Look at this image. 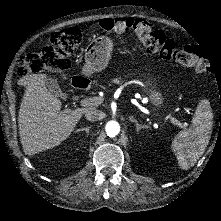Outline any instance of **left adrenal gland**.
<instances>
[{
  "instance_id": "left-adrenal-gland-1",
  "label": "left adrenal gland",
  "mask_w": 221,
  "mask_h": 221,
  "mask_svg": "<svg viewBox=\"0 0 221 221\" xmlns=\"http://www.w3.org/2000/svg\"><path fill=\"white\" fill-rule=\"evenodd\" d=\"M129 121H131V122L136 124L137 131L141 130L142 128H149L148 125H141V124H139V122L133 116H129Z\"/></svg>"
}]
</instances>
